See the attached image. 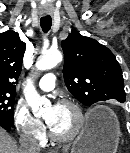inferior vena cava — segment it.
<instances>
[{"mask_svg":"<svg viewBox=\"0 0 130 153\" xmlns=\"http://www.w3.org/2000/svg\"><path fill=\"white\" fill-rule=\"evenodd\" d=\"M20 150L22 153H40V145L34 135L25 131L21 140Z\"/></svg>","mask_w":130,"mask_h":153,"instance_id":"602c4592","label":"inferior vena cava"}]
</instances>
